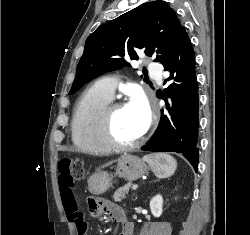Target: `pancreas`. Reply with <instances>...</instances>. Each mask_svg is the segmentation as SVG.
I'll return each mask as SVG.
<instances>
[{"mask_svg":"<svg viewBox=\"0 0 250 235\" xmlns=\"http://www.w3.org/2000/svg\"><path fill=\"white\" fill-rule=\"evenodd\" d=\"M130 187H131V184L128 183L124 185L123 187H120L119 189H117L116 192L113 194V200L115 202H121V200L124 199L126 195L128 194Z\"/></svg>","mask_w":250,"mask_h":235,"instance_id":"1","label":"pancreas"}]
</instances>
